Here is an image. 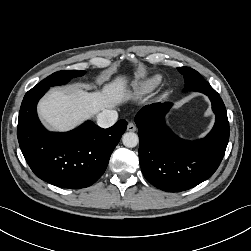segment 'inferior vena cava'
I'll use <instances>...</instances> for the list:
<instances>
[{
  "label": "inferior vena cava",
  "instance_id": "inferior-vena-cava-1",
  "mask_svg": "<svg viewBox=\"0 0 251 251\" xmlns=\"http://www.w3.org/2000/svg\"><path fill=\"white\" fill-rule=\"evenodd\" d=\"M117 118V111L105 109L97 115V124L102 128H109L116 122Z\"/></svg>",
  "mask_w": 251,
  "mask_h": 251
}]
</instances>
